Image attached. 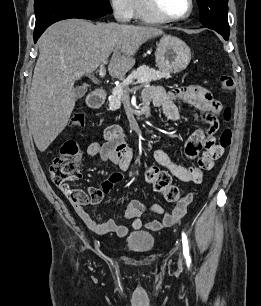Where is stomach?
Here are the masks:
<instances>
[{
	"mask_svg": "<svg viewBox=\"0 0 261 306\" xmlns=\"http://www.w3.org/2000/svg\"><path fill=\"white\" fill-rule=\"evenodd\" d=\"M156 65L162 71L179 73L191 60L190 48L184 41L172 35H164L155 52Z\"/></svg>",
	"mask_w": 261,
	"mask_h": 306,
	"instance_id": "0dacf381",
	"label": "stomach"
}]
</instances>
